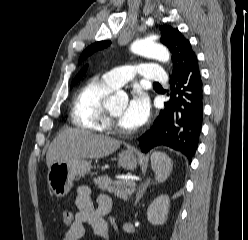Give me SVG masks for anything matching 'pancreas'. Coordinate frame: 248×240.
<instances>
[{"instance_id": "cf45deb5", "label": "pancreas", "mask_w": 248, "mask_h": 240, "mask_svg": "<svg viewBox=\"0 0 248 240\" xmlns=\"http://www.w3.org/2000/svg\"><path fill=\"white\" fill-rule=\"evenodd\" d=\"M95 185H97L101 190H107L113 193L115 196L128 200L131 194L134 192V187L129 186L124 181H114L107 175L99 176L94 179Z\"/></svg>"}]
</instances>
